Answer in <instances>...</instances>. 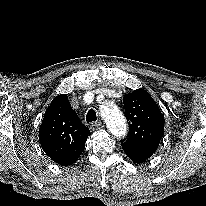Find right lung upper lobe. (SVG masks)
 Here are the masks:
<instances>
[{"mask_svg": "<svg viewBox=\"0 0 206 206\" xmlns=\"http://www.w3.org/2000/svg\"><path fill=\"white\" fill-rule=\"evenodd\" d=\"M90 134L72 109L67 94L56 96L47 108L39 128L42 149L54 162L71 165L85 149Z\"/></svg>", "mask_w": 206, "mask_h": 206, "instance_id": "1", "label": "right lung upper lobe"}]
</instances>
